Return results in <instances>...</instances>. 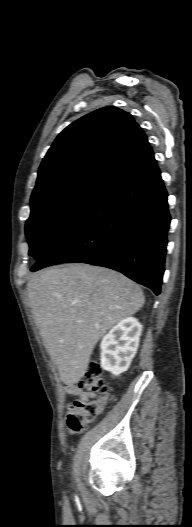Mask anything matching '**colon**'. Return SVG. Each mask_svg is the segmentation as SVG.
<instances>
[{"label":"colon","instance_id":"colon-1","mask_svg":"<svg viewBox=\"0 0 192 527\" xmlns=\"http://www.w3.org/2000/svg\"><path fill=\"white\" fill-rule=\"evenodd\" d=\"M102 368L96 362H90L78 386L90 392L98 393L94 400L78 399L68 408L67 426L71 433H78L93 421L103 410L109 400V387L104 382Z\"/></svg>","mask_w":192,"mask_h":527}]
</instances>
